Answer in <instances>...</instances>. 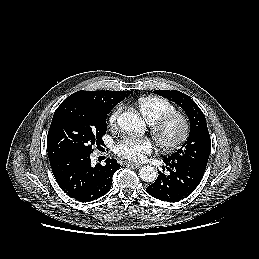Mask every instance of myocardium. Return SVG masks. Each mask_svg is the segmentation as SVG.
Here are the masks:
<instances>
[{"instance_id": "1", "label": "myocardium", "mask_w": 259, "mask_h": 259, "mask_svg": "<svg viewBox=\"0 0 259 259\" xmlns=\"http://www.w3.org/2000/svg\"><path fill=\"white\" fill-rule=\"evenodd\" d=\"M174 122L179 125V133L174 139L167 140L164 135L165 129ZM151 133L162 150L171 152L187 141L190 134V122L184 114L178 111L168 112L151 123Z\"/></svg>"}]
</instances>
